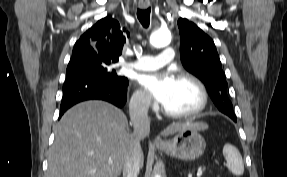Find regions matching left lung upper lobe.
<instances>
[{
    "label": "left lung upper lobe",
    "mask_w": 287,
    "mask_h": 177,
    "mask_svg": "<svg viewBox=\"0 0 287 177\" xmlns=\"http://www.w3.org/2000/svg\"><path fill=\"white\" fill-rule=\"evenodd\" d=\"M181 36L180 57L184 68L199 78L224 114L235 116L227 95V82L213 40L188 19L178 20Z\"/></svg>",
    "instance_id": "1"
}]
</instances>
